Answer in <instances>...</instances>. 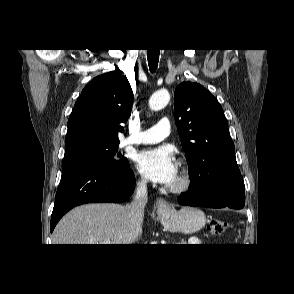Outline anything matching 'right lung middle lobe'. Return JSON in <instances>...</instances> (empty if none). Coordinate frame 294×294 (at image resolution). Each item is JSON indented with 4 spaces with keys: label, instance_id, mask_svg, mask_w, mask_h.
Returning a JSON list of instances; mask_svg holds the SVG:
<instances>
[{
    "label": "right lung middle lobe",
    "instance_id": "right-lung-middle-lobe-1",
    "mask_svg": "<svg viewBox=\"0 0 294 294\" xmlns=\"http://www.w3.org/2000/svg\"><path fill=\"white\" fill-rule=\"evenodd\" d=\"M119 142L82 139L66 144L62 172L78 166H99L111 169L127 168V158L118 152Z\"/></svg>",
    "mask_w": 294,
    "mask_h": 294
}]
</instances>
